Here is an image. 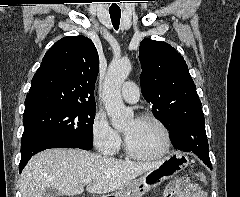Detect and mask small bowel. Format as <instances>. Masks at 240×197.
Instances as JSON below:
<instances>
[{"instance_id":"obj_1","label":"small bowel","mask_w":240,"mask_h":197,"mask_svg":"<svg viewBox=\"0 0 240 197\" xmlns=\"http://www.w3.org/2000/svg\"><path fill=\"white\" fill-rule=\"evenodd\" d=\"M165 197H206V192L199 185L184 180L169 187Z\"/></svg>"}]
</instances>
